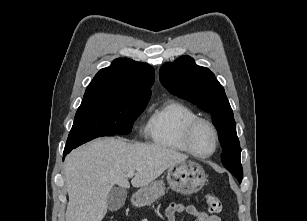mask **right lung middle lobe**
<instances>
[{
  "instance_id": "1",
  "label": "right lung middle lobe",
  "mask_w": 307,
  "mask_h": 221,
  "mask_svg": "<svg viewBox=\"0 0 307 221\" xmlns=\"http://www.w3.org/2000/svg\"><path fill=\"white\" fill-rule=\"evenodd\" d=\"M148 100L130 96L103 97L82 102L78 108L64 152L101 136L129 134Z\"/></svg>"
}]
</instances>
